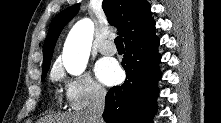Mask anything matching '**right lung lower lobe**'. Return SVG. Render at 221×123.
<instances>
[{
	"label": "right lung lower lobe",
	"mask_w": 221,
	"mask_h": 123,
	"mask_svg": "<svg viewBox=\"0 0 221 123\" xmlns=\"http://www.w3.org/2000/svg\"><path fill=\"white\" fill-rule=\"evenodd\" d=\"M155 31V30H154ZM129 41L122 66L126 80L106 95L103 118L107 123H152L157 111V82L161 78L155 32Z\"/></svg>",
	"instance_id": "1"
}]
</instances>
